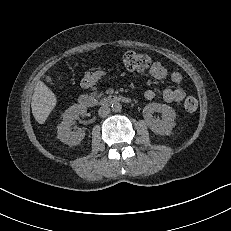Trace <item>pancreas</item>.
Listing matches in <instances>:
<instances>
[{"mask_svg":"<svg viewBox=\"0 0 231 231\" xmlns=\"http://www.w3.org/2000/svg\"><path fill=\"white\" fill-rule=\"evenodd\" d=\"M101 95L102 94L97 95L96 93H92V96L97 97V98L101 97Z\"/></svg>","mask_w":231,"mask_h":231,"instance_id":"cf45deb5","label":"pancreas"}]
</instances>
